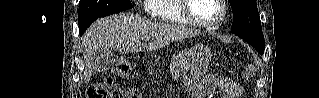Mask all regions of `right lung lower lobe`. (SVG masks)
<instances>
[{
  "label": "right lung lower lobe",
  "mask_w": 319,
  "mask_h": 98,
  "mask_svg": "<svg viewBox=\"0 0 319 98\" xmlns=\"http://www.w3.org/2000/svg\"><path fill=\"white\" fill-rule=\"evenodd\" d=\"M98 18H94L91 20H88L84 23L79 24V34L83 35V33L86 31V29Z\"/></svg>",
  "instance_id": "obj_1"
}]
</instances>
